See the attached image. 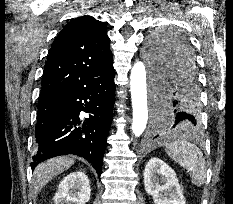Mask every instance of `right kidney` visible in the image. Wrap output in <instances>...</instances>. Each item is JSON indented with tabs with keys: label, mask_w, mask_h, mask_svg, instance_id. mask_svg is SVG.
Returning <instances> with one entry per match:
<instances>
[{
	"label": "right kidney",
	"mask_w": 233,
	"mask_h": 204,
	"mask_svg": "<svg viewBox=\"0 0 233 204\" xmlns=\"http://www.w3.org/2000/svg\"><path fill=\"white\" fill-rule=\"evenodd\" d=\"M90 182L82 171L68 174L60 182L54 204H85L90 200Z\"/></svg>",
	"instance_id": "right-kidney-1"
}]
</instances>
